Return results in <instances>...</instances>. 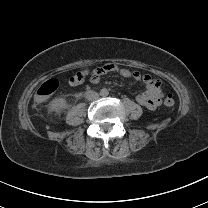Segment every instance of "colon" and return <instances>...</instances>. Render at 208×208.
I'll return each instance as SVG.
<instances>
[{
  "mask_svg": "<svg viewBox=\"0 0 208 208\" xmlns=\"http://www.w3.org/2000/svg\"><path fill=\"white\" fill-rule=\"evenodd\" d=\"M85 84L86 83V70L80 71L75 70L74 76H72L68 80L69 86H74L76 84ZM61 85V80L57 76H52L48 79H46L42 84L39 85L38 90L36 92V100L34 102V105L38 109H42L46 105V101L49 98V95L57 88H59ZM164 104L168 108H172L174 106V100L172 97H167L164 101Z\"/></svg>",
  "mask_w": 208,
  "mask_h": 208,
  "instance_id": "1",
  "label": "colon"
}]
</instances>
